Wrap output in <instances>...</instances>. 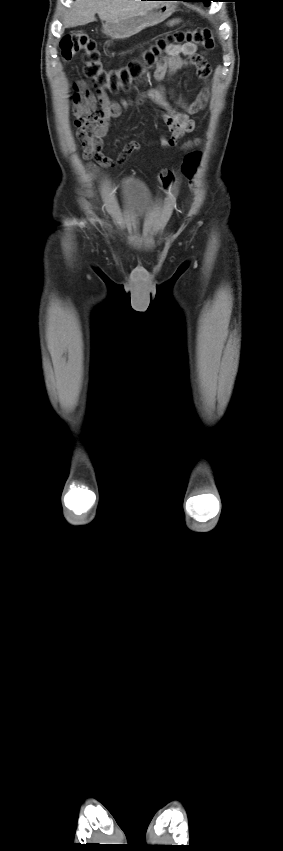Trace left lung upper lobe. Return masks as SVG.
Here are the masks:
<instances>
[{
	"label": "left lung upper lobe",
	"mask_w": 283,
	"mask_h": 851,
	"mask_svg": "<svg viewBox=\"0 0 283 851\" xmlns=\"http://www.w3.org/2000/svg\"><path fill=\"white\" fill-rule=\"evenodd\" d=\"M193 1H203V2H205V3H207V4H209V3H210V1H212V0H193Z\"/></svg>",
	"instance_id": "obj_1"
}]
</instances>
